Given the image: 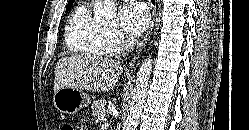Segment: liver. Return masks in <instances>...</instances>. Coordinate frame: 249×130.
Listing matches in <instances>:
<instances>
[{
    "instance_id": "liver-1",
    "label": "liver",
    "mask_w": 249,
    "mask_h": 130,
    "mask_svg": "<svg viewBox=\"0 0 249 130\" xmlns=\"http://www.w3.org/2000/svg\"><path fill=\"white\" fill-rule=\"evenodd\" d=\"M123 72L119 61L96 55L61 58L55 68L54 92L68 87L92 92L111 90Z\"/></svg>"
}]
</instances>
